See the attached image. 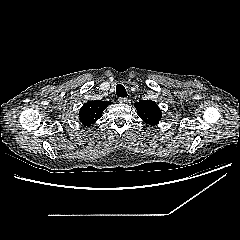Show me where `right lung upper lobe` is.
I'll use <instances>...</instances> for the list:
<instances>
[{
    "instance_id": "right-lung-upper-lobe-1",
    "label": "right lung upper lobe",
    "mask_w": 240,
    "mask_h": 240,
    "mask_svg": "<svg viewBox=\"0 0 240 240\" xmlns=\"http://www.w3.org/2000/svg\"><path fill=\"white\" fill-rule=\"evenodd\" d=\"M109 104V102L99 100L85 103L79 112L80 122L84 126H91V124L101 118L103 111Z\"/></svg>"
}]
</instances>
